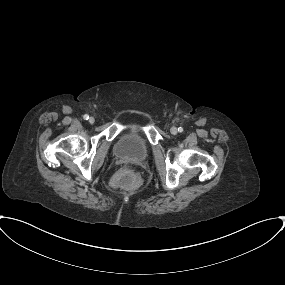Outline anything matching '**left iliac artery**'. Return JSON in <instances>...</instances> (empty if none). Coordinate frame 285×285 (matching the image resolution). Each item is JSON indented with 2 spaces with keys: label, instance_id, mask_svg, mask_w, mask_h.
<instances>
[{
  "label": "left iliac artery",
  "instance_id": "obj_1",
  "mask_svg": "<svg viewBox=\"0 0 285 285\" xmlns=\"http://www.w3.org/2000/svg\"><path fill=\"white\" fill-rule=\"evenodd\" d=\"M182 131H183V128H182V127H179V128H178V132L181 133Z\"/></svg>",
  "mask_w": 285,
  "mask_h": 285
}]
</instances>
